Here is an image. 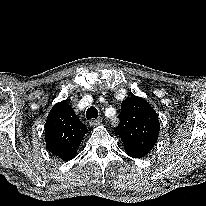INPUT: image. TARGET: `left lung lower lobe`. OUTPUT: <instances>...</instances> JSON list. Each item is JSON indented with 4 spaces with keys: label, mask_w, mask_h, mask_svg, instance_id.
<instances>
[{
    "label": "left lung lower lobe",
    "mask_w": 206,
    "mask_h": 206,
    "mask_svg": "<svg viewBox=\"0 0 206 206\" xmlns=\"http://www.w3.org/2000/svg\"><path fill=\"white\" fill-rule=\"evenodd\" d=\"M128 155H130L133 158H139L145 156L143 153H139V152H128Z\"/></svg>",
    "instance_id": "left-lung-lower-lobe-1"
}]
</instances>
